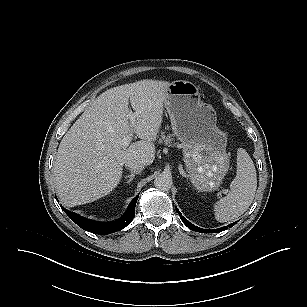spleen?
Returning a JSON list of instances; mask_svg holds the SVG:
<instances>
[{
	"mask_svg": "<svg viewBox=\"0 0 307 307\" xmlns=\"http://www.w3.org/2000/svg\"><path fill=\"white\" fill-rule=\"evenodd\" d=\"M257 189L254 163L245 149L237 151V175L230 191L214 205L215 218L219 222L231 221L241 216L251 205Z\"/></svg>",
	"mask_w": 307,
	"mask_h": 307,
	"instance_id": "3e777b00",
	"label": "spleen"
}]
</instances>
